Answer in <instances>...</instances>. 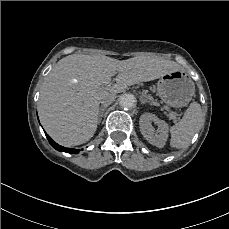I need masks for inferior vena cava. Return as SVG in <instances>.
I'll use <instances>...</instances> for the list:
<instances>
[{
  "label": "inferior vena cava",
  "mask_w": 229,
  "mask_h": 229,
  "mask_svg": "<svg viewBox=\"0 0 229 229\" xmlns=\"http://www.w3.org/2000/svg\"><path fill=\"white\" fill-rule=\"evenodd\" d=\"M101 104L104 106H108V105H110L107 101H101Z\"/></svg>",
  "instance_id": "obj_1"
}]
</instances>
